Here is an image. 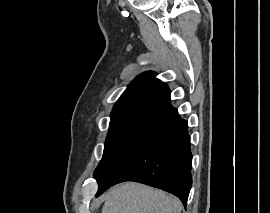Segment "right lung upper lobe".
Returning a JSON list of instances; mask_svg holds the SVG:
<instances>
[{
	"label": "right lung upper lobe",
	"instance_id": "1",
	"mask_svg": "<svg viewBox=\"0 0 270 213\" xmlns=\"http://www.w3.org/2000/svg\"><path fill=\"white\" fill-rule=\"evenodd\" d=\"M155 77L156 74L151 71L137 76L118 99L113 110L132 105L156 107L168 102L170 100L169 87Z\"/></svg>",
	"mask_w": 270,
	"mask_h": 213
}]
</instances>
